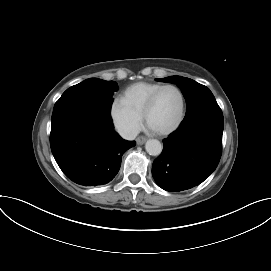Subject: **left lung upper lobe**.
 Wrapping results in <instances>:
<instances>
[{
	"mask_svg": "<svg viewBox=\"0 0 271 271\" xmlns=\"http://www.w3.org/2000/svg\"><path fill=\"white\" fill-rule=\"evenodd\" d=\"M160 82H170L177 84L186 99V115L190 114L194 110L208 105L217 104L212 92L204 85L181 76H170L163 79H156Z\"/></svg>",
	"mask_w": 271,
	"mask_h": 271,
	"instance_id": "obj_1",
	"label": "left lung upper lobe"
}]
</instances>
